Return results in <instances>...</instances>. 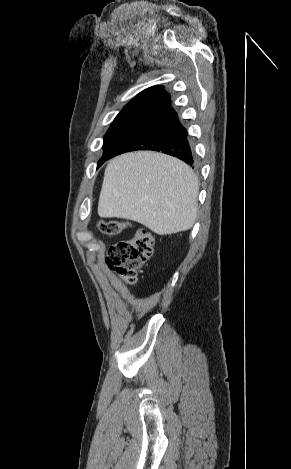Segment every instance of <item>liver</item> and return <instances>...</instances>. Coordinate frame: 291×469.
Here are the masks:
<instances>
[{"label": "liver", "mask_w": 291, "mask_h": 469, "mask_svg": "<svg viewBox=\"0 0 291 469\" xmlns=\"http://www.w3.org/2000/svg\"><path fill=\"white\" fill-rule=\"evenodd\" d=\"M198 193L184 162L157 152L126 153L105 169L98 215L132 220L159 235L178 233L194 225Z\"/></svg>", "instance_id": "obj_1"}]
</instances>
